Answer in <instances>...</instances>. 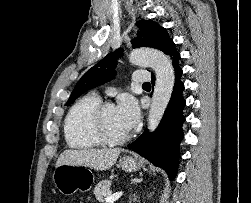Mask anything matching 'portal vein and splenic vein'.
Segmentation results:
<instances>
[{"mask_svg":"<svg viewBox=\"0 0 251 203\" xmlns=\"http://www.w3.org/2000/svg\"><path fill=\"white\" fill-rule=\"evenodd\" d=\"M122 196V192L111 194L105 198L106 203H113Z\"/></svg>","mask_w":251,"mask_h":203,"instance_id":"obj_1","label":"portal vein and splenic vein"}]
</instances>
